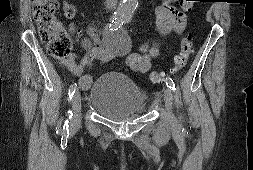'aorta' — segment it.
Here are the masks:
<instances>
[{
  "label": "aorta",
  "mask_w": 253,
  "mask_h": 170,
  "mask_svg": "<svg viewBox=\"0 0 253 170\" xmlns=\"http://www.w3.org/2000/svg\"><path fill=\"white\" fill-rule=\"evenodd\" d=\"M138 5L137 0H121L117 9V15L120 18H126L133 14Z\"/></svg>",
  "instance_id": "aorta-1"
}]
</instances>
